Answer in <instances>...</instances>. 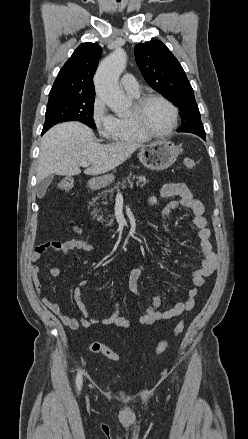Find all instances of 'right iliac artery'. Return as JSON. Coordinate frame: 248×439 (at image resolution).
Masks as SVG:
<instances>
[{
    "instance_id": "1",
    "label": "right iliac artery",
    "mask_w": 248,
    "mask_h": 439,
    "mask_svg": "<svg viewBox=\"0 0 248 439\" xmlns=\"http://www.w3.org/2000/svg\"><path fill=\"white\" fill-rule=\"evenodd\" d=\"M76 386H77L78 390H80L82 387V373H81V371H79L77 374Z\"/></svg>"
}]
</instances>
